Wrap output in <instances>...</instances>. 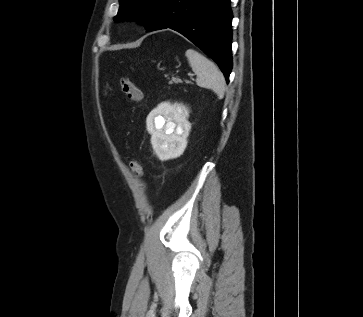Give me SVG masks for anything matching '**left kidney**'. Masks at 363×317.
Returning a JSON list of instances; mask_svg holds the SVG:
<instances>
[{"instance_id":"obj_1","label":"left kidney","mask_w":363,"mask_h":317,"mask_svg":"<svg viewBox=\"0 0 363 317\" xmlns=\"http://www.w3.org/2000/svg\"><path fill=\"white\" fill-rule=\"evenodd\" d=\"M147 128L151 144L161 160L183 154L191 126L181 109L168 102L161 103L148 116Z\"/></svg>"}]
</instances>
